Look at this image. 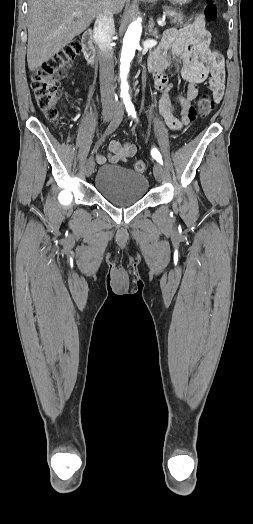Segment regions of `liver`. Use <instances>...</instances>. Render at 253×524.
Segmentation results:
<instances>
[{
    "label": "liver",
    "instance_id": "6515ba94",
    "mask_svg": "<svg viewBox=\"0 0 253 524\" xmlns=\"http://www.w3.org/2000/svg\"><path fill=\"white\" fill-rule=\"evenodd\" d=\"M126 0H28L27 62L37 70L74 37L80 35L105 8L122 11ZM79 11L80 14H74Z\"/></svg>",
    "mask_w": 253,
    "mask_h": 524
}]
</instances>
